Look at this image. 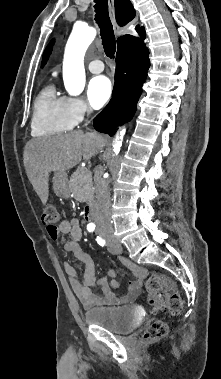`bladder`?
Segmentation results:
<instances>
[{
	"label": "bladder",
	"instance_id": "1",
	"mask_svg": "<svg viewBox=\"0 0 221 379\" xmlns=\"http://www.w3.org/2000/svg\"><path fill=\"white\" fill-rule=\"evenodd\" d=\"M85 320L115 334H127L135 329L143 316L134 307H97L84 314Z\"/></svg>",
	"mask_w": 221,
	"mask_h": 379
}]
</instances>
